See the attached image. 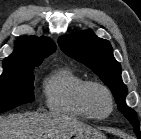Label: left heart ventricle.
I'll use <instances>...</instances> for the list:
<instances>
[{"mask_svg": "<svg viewBox=\"0 0 141 139\" xmlns=\"http://www.w3.org/2000/svg\"><path fill=\"white\" fill-rule=\"evenodd\" d=\"M90 100L95 113L104 115L108 112L109 101L107 95L103 91L99 89L92 90Z\"/></svg>", "mask_w": 141, "mask_h": 139, "instance_id": "b2bd125f", "label": "left heart ventricle"}]
</instances>
